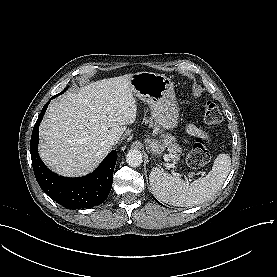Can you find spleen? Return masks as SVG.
<instances>
[{
	"mask_svg": "<svg viewBox=\"0 0 277 277\" xmlns=\"http://www.w3.org/2000/svg\"><path fill=\"white\" fill-rule=\"evenodd\" d=\"M231 170V158L222 153L217 156L211 171L205 176L185 182L176 174L155 167L149 180L153 193L163 202L175 206H194L211 198L222 186Z\"/></svg>",
	"mask_w": 277,
	"mask_h": 277,
	"instance_id": "3e777b00",
	"label": "spleen"
}]
</instances>
